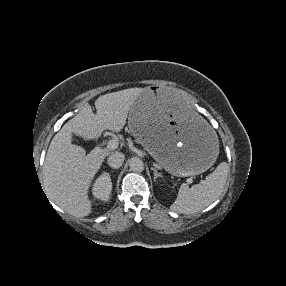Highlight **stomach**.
Wrapping results in <instances>:
<instances>
[{"mask_svg":"<svg viewBox=\"0 0 286 286\" xmlns=\"http://www.w3.org/2000/svg\"><path fill=\"white\" fill-rule=\"evenodd\" d=\"M128 126L151 156L175 176L201 174L218 156L214 127L173 90L142 89L131 106Z\"/></svg>","mask_w":286,"mask_h":286,"instance_id":"stomach-1","label":"stomach"}]
</instances>
